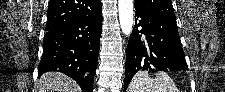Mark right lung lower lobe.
<instances>
[{
    "instance_id": "obj_1",
    "label": "right lung lower lobe",
    "mask_w": 225,
    "mask_h": 92,
    "mask_svg": "<svg viewBox=\"0 0 225 92\" xmlns=\"http://www.w3.org/2000/svg\"><path fill=\"white\" fill-rule=\"evenodd\" d=\"M102 12L69 25L47 31L38 76L45 72H62L74 79L83 92L93 91L94 74L102 33Z\"/></svg>"
}]
</instances>
